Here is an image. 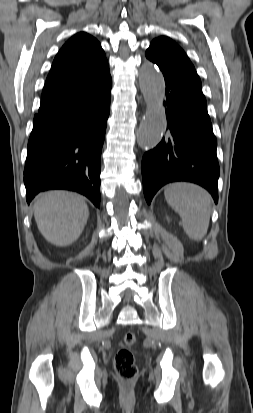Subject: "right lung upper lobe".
Returning a JSON list of instances; mask_svg holds the SVG:
<instances>
[{"instance_id": "cb5924a9", "label": "right lung upper lobe", "mask_w": 253, "mask_h": 413, "mask_svg": "<svg viewBox=\"0 0 253 413\" xmlns=\"http://www.w3.org/2000/svg\"><path fill=\"white\" fill-rule=\"evenodd\" d=\"M109 74L100 43L85 32L77 33L56 55L42 92L39 112L34 119L94 94Z\"/></svg>"}]
</instances>
